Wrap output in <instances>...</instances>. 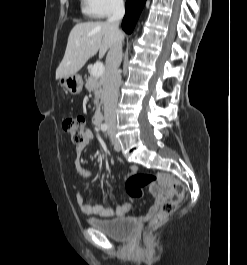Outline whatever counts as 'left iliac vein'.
Listing matches in <instances>:
<instances>
[{
	"label": "left iliac vein",
	"mask_w": 247,
	"mask_h": 265,
	"mask_svg": "<svg viewBox=\"0 0 247 265\" xmlns=\"http://www.w3.org/2000/svg\"><path fill=\"white\" fill-rule=\"evenodd\" d=\"M109 135L112 136V137L114 138V149H115L116 151H120V150H121V144H120L118 138H116V137L114 136V131H113L112 129H109Z\"/></svg>",
	"instance_id": "1"
}]
</instances>
